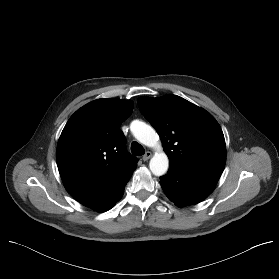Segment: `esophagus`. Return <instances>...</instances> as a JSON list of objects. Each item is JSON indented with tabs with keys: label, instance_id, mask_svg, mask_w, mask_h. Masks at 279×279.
I'll return each instance as SVG.
<instances>
[{
	"label": "esophagus",
	"instance_id": "34e87169",
	"mask_svg": "<svg viewBox=\"0 0 279 279\" xmlns=\"http://www.w3.org/2000/svg\"><path fill=\"white\" fill-rule=\"evenodd\" d=\"M151 156H152V153H151L150 151H147V152L143 155L142 159H143V161H148V160L150 159Z\"/></svg>",
	"mask_w": 279,
	"mask_h": 279
}]
</instances>
